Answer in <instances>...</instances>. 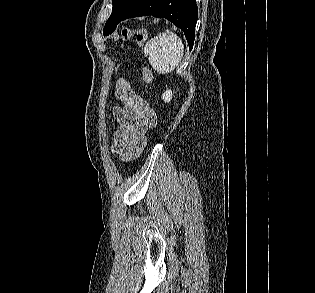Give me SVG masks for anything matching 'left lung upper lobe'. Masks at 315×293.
Here are the masks:
<instances>
[{
  "label": "left lung upper lobe",
  "instance_id": "5c2ea615",
  "mask_svg": "<svg viewBox=\"0 0 315 293\" xmlns=\"http://www.w3.org/2000/svg\"><path fill=\"white\" fill-rule=\"evenodd\" d=\"M139 0H113L112 13L103 29L105 36L111 34L122 18L136 5Z\"/></svg>",
  "mask_w": 315,
  "mask_h": 293
}]
</instances>
